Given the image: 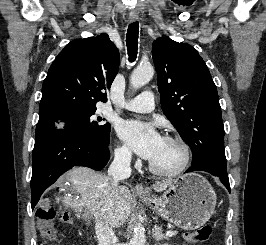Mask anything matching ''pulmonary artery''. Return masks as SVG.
Wrapping results in <instances>:
<instances>
[{
    "label": "pulmonary artery",
    "instance_id": "obj_1",
    "mask_svg": "<svg viewBox=\"0 0 266 245\" xmlns=\"http://www.w3.org/2000/svg\"><path fill=\"white\" fill-rule=\"evenodd\" d=\"M152 91H144L140 96H134V99L123 102L120 107L129 111L148 113L154 110V102L152 101Z\"/></svg>",
    "mask_w": 266,
    "mask_h": 245
}]
</instances>
